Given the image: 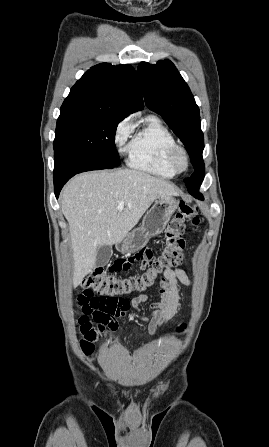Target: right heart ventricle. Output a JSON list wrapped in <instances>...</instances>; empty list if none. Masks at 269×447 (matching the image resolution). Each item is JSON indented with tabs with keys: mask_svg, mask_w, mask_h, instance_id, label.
<instances>
[{
	"mask_svg": "<svg viewBox=\"0 0 269 447\" xmlns=\"http://www.w3.org/2000/svg\"><path fill=\"white\" fill-rule=\"evenodd\" d=\"M176 145L172 132L154 115H148L134 134L129 147L127 164L163 178L177 172L169 163V155Z\"/></svg>",
	"mask_w": 269,
	"mask_h": 447,
	"instance_id": "e07e8e85",
	"label": "right heart ventricle"
}]
</instances>
